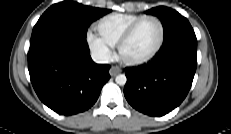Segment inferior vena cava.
I'll return each mask as SVG.
<instances>
[{"label":"inferior vena cava","mask_w":231,"mask_h":134,"mask_svg":"<svg viewBox=\"0 0 231 134\" xmlns=\"http://www.w3.org/2000/svg\"><path fill=\"white\" fill-rule=\"evenodd\" d=\"M91 57H92L93 61L96 63H108L110 60L108 55H106L104 53H100V52H93L91 54Z\"/></svg>","instance_id":"obj_1"}]
</instances>
